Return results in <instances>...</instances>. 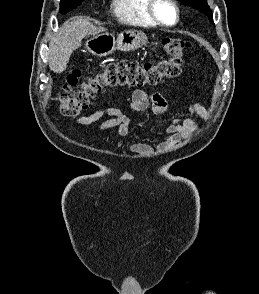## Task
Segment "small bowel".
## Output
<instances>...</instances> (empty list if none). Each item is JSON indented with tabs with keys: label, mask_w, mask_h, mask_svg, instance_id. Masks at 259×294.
<instances>
[{
	"label": "small bowel",
	"mask_w": 259,
	"mask_h": 294,
	"mask_svg": "<svg viewBox=\"0 0 259 294\" xmlns=\"http://www.w3.org/2000/svg\"><path fill=\"white\" fill-rule=\"evenodd\" d=\"M167 109L168 102L161 93L157 91L148 93L144 90H135L132 94V100L128 111H123L115 107L104 108L96 110L89 115L79 117L76 120V124L90 125L99 121L104 116H108L109 119L100 125L99 131L116 128L120 136H127L132 130V116L134 114L142 113L147 110H151L153 113L157 114L163 113ZM186 109L190 114L198 116L203 122H207L209 111L204 105L192 103L187 105ZM198 128L199 124L193 119L174 118L165 130V134L168 136L165 142L160 143L156 147H152L145 143H137L129 146L128 150L136 154L150 153L155 149L174 145L182 138L191 136ZM118 147H121V143H118Z\"/></svg>",
	"instance_id": "obj_1"
}]
</instances>
